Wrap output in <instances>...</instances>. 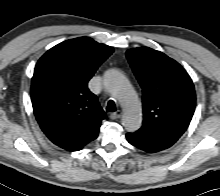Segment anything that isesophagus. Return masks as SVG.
Here are the masks:
<instances>
[{
  "label": "esophagus",
  "instance_id": "34e87169",
  "mask_svg": "<svg viewBox=\"0 0 220 196\" xmlns=\"http://www.w3.org/2000/svg\"><path fill=\"white\" fill-rule=\"evenodd\" d=\"M120 117H121V112H120V111H117V112L112 113V114L110 115V118H111L112 120H117V119H119Z\"/></svg>",
  "mask_w": 220,
  "mask_h": 196
}]
</instances>
